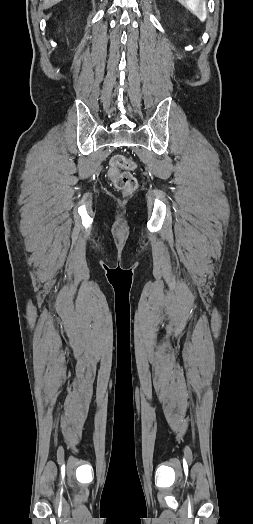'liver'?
Here are the masks:
<instances>
[{"mask_svg": "<svg viewBox=\"0 0 253 524\" xmlns=\"http://www.w3.org/2000/svg\"><path fill=\"white\" fill-rule=\"evenodd\" d=\"M62 0H44V3H43V7L45 9L47 8H50L54 5H56L57 3L61 2Z\"/></svg>", "mask_w": 253, "mask_h": 524, "instance_id": "6515ba94", "label": "liver"}]
</instances>
